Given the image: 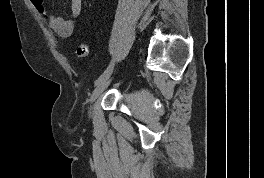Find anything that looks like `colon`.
<instances>
[{
    "mask_svg": "<svg viewBox=\"0 0 264 178\" xmlns=\"http://www.w3.org/2000/svg\"><path fill=\"white\" fill-rule=\"evenodd\" d=\"M34 8L42 15L46 16L47 11L44 5V0H30ZM76 54L79 58H84L88 54V46L85 43H81L76 50Z\"/></svg>",
    "mask_w": 264,
    "mask_h": 178,
    "instance_id": "obj_1",
    "label": "colon"
}]
</instances>
